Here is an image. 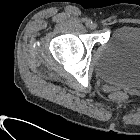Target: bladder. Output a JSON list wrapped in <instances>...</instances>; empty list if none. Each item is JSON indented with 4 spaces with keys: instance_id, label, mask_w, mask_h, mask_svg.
Wrapping results in <instances>:
<instances>
[{
    "instance_id": "31cf9c89",
    "label": "bladder",
    "mask_w": 140,
    "mask_h": 140,
    "mask_svg": "<svg viewBox=\"0 0 140 140\" xmlns=\"http://www.w3.org/2000/svg\"><path fill=\"white\" fill-rule=\"evenodd\" d=\"M95 72L107 83L140 87V25L126 23L111 32L95 61Z\"/></svg>"
}]
</instances>
